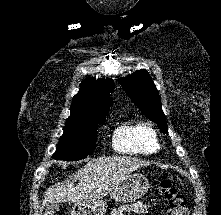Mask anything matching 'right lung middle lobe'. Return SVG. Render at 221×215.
I'll use <instances>...</instances> for the list:
<instances>
[{"label":"right lung middle lobe","mask_w":221,"mask_h":215,"mask_svg":"<svg viewBox=\"0 0 221 215\" xmlns=\"http://www.w3.org/2000/svg\"><path fill=\"white\" fill-rule=\"evenodd\" d=\"M102 119H87L70 116L64 127V133L60 138L54 159L76 161L90 155L96 146V128Z\"/></svg>","instance_id":"dd1d6c3e"}]
</instances>
